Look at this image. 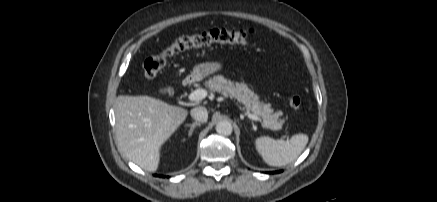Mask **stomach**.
I'll use <instances>...</instances> for the list:
<instances>
[{"label": "stomach", "mask_w": 437, "mask_h": 202, "mask_svg": "<svg viewBox=\"0 0 437 202\" xmlns=\"http://www.w3.org/2000/svg\"><path fill=\"white\" fill-rule=\"evenodd\" d=\"M222 67L223 66L220 62H205L198 64L191 72V78L196 81L202 80L203 78L221 70Z\"/></svg>", "instance_id": "0dacf381"}]
</instances>
